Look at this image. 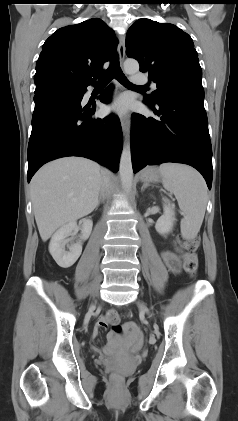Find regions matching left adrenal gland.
Here are the masks:
<instances>
[{"instance_id": "left-adrenal-gland-1", "label": "left adrenal gland", "mask_w": 238, "mask_h": 421, "mask_svg": "<svg viewBox=\"0 0 238 421\" xmlns=\"http://www.w3.org/2000/svg\"><path fill=\"white\" fill-rule=\"evenodd\" d=\"M149 186L148 183H144L141 187V191L143 192L145 188H147Z\"/></svg>"}]
</instances>
